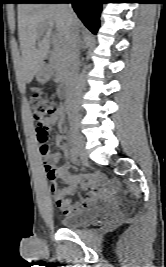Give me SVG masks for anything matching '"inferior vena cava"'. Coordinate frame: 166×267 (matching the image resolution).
Instances as JSON below:
<instances>
[{"label":"inferior vena cava","instance_id":"1","mask_svg":"<svg viewBox=\"0 0 166 267\" xmlns=\"http://www.w3.org/2000/svg\"><path fill=\"white\" fill-rule=\"evenodd\" d=\"M62 8L65 12L67 21V58L70 68V86L74 88L78 79L79 54H80V35L78 18L74 13L70 3H63Z\"/></svg>","mask_w":166,"mask_h":267}]
</instances>
